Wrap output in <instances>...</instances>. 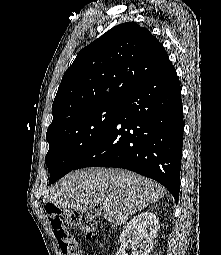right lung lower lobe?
<instances>
[{"label": "right lung lower lobe", "mask_w": 221, "mask_h": 255, "mask_svg": "<svg viewBox=\"0 0 221 255\" xmlns=\"http://www.w3.org/2000/svg\"><path fill=\"white\" fill-rule=\"evenodd\" d=\"M183 143L181 89L168 61L123 101L111 124L73 170L119 167L164 185L176 203Z\"/></svg>", "instance_id": "right-lung-lower-lobe-1"}]
</instances>
